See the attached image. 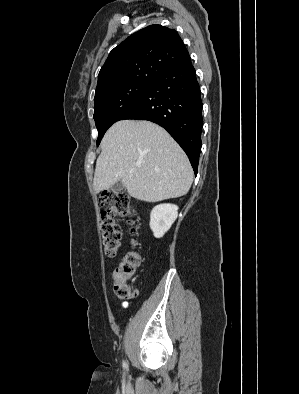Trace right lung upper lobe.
<instances>
[{
    "mask_svg": "<svg viewBox=\"0 0 299 394\" xmlns=\"http://www.w3.org/2000/svg\"><path fill=\"white\" fill-rule=\"evenodd\" d=\"M188 56L175 30L157 24L145 27L109 53L98 75L95 96L126 83H152Z\"/></svg>",
    "mask_w": 299,
    "mask_h": 394,
    "instance_id": "obj_1",
    "label": "right lung upper lobe"
}]
</instances>
